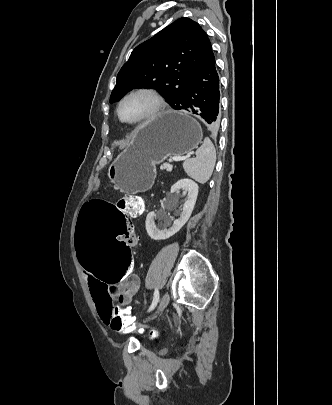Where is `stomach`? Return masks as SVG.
Returning <instances> with one entry per match:
<instances>
[{"mask_svg": "<svg viewBox=\"0 0 332 405\" xmlns=\"http://www.w3.org/2000/svg\"><path fill=\"white\" fill-rule=\"evenodd\" d=\"M203 137L197 120L184 111H168L139 125L129 146L109 166L108 177L124 193L149 188L155 165L197 148Z\"/></svg>", "mask_w": 332, "mask_h": 405, "instance_id": "0dacf381", "label": "stomach"}]
</instances>
